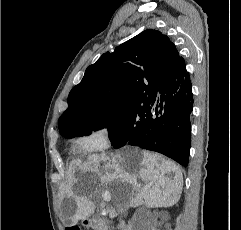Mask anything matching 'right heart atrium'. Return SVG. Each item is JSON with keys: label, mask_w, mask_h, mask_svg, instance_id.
<instances>
[{"label": "right heart atrium", "mask_w": 241, "mask_h": 230, "mask_svg": "<svg viewBox=\"0 0 241 230\" xmlns=\"http://www.w3.org/2000/svg\"><path fill=\"white\" fill-rule=\"evenodd\" d=\"M112 144L111 130L108 126H100L91 130L80 139V147L86 152H100Z\"/></svg>", "instance_id": "obj_1"}]
</instances>
